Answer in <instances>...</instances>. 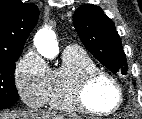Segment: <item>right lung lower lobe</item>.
<instances>
[{"instance_id": "98d812e1", "label": "right lung lower lobe", "mask_w": 142, "mask_h": 119, "mask_svg": "<svg viewBox=\"0 0 142 119\" xmlns=\"http://www.w3.org/2000/svg\"><path fill=\"white\" fill-rule=\"evenodd\" d=\"M6 108H9L8 105H0V109H6Z\"/></svg>"}]
</instances>
